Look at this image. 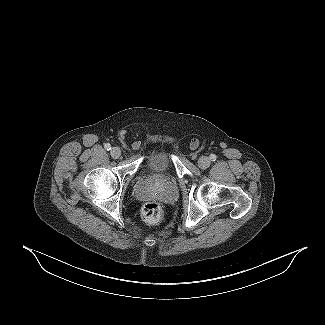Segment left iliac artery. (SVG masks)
Returning <instances> with one entry per match:
<instances>
[{"instance_id": "44dca946", "label": "left iliac artery", "mask_w": 325, "mask_h": 325, "mask_svg": "<svg viewBox=\"0 0 325 325\" xmlns=\"http://www.w3.org/2000/svg\"><path fill=\"white\" fill-rule=\"evenodd\" d=\"M216 158H217V157H216V155H215V154H211V155H210V159H211L212 161H215V160H216Z\"/></svg>"}]
</instances>
